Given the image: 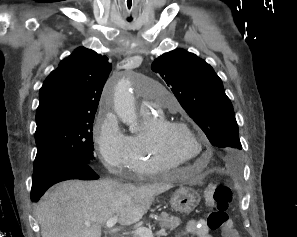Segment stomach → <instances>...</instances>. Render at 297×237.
I'll return each mask as SVG.
<instances>
[{"mask_svg": "<svg viewBox=\"0 0 297 237\" xmlns=\"http://www.w3.org/2000/svg\"><path fill=\"white\" fill-rule=\"evenodd\" d=\"M200 202V195L198 192L186 188L181 187L170 199L171 207L181 213L189 214L191 213L199 204Z\"/></svg>", "mask_w": 297, "mask_h": 237, "instance_id": "obj_1", "label": "stomach"}]
</instances>
